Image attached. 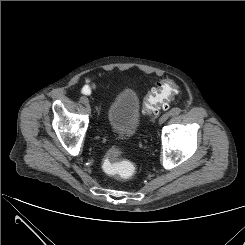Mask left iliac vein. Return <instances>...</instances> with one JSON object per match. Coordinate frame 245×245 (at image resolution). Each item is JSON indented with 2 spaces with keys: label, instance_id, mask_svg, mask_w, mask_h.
Returning <instances> with one entry per match:
<instances>
[{
  "label": "left iliac vein",
  "instance_id": "obj_1",
  "mask_svg": "<svg viewBox=\"0 0 245 245\" xmlns=\"http://www.w3.org/2000/svg\"><path fill=\"white\" fill-rule=\"evenodd\" d=\"M170 116V113L163 114L159 119V124H163L164 122H166Z\"/></svg>",
  "mask_w": 245,
  "mask_h": 245
}]
</instances>
